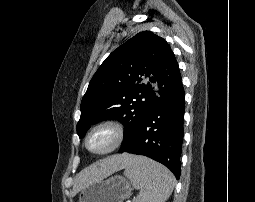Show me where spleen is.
<instances>
[{"instance_id":"spleen-1","label":"spleen","mask_w":255,"mask_h":202,"mask_svg":"<svg viewBox=\"0 0 255 202\" xmlns=\"http://www.w3.org/2000/svg\"><path fill=\"white\" fill-rule=\"evenodd\" d=\"M124 175L139 190L133 202H165L175 186V177L166 167L145 157H136Z\"/></svg>"}]
</instances>
